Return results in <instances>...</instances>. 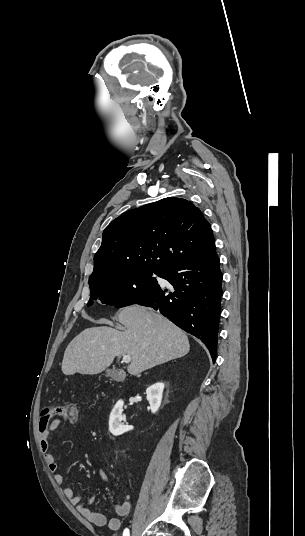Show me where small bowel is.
Returning <instances> with one entry per match:
<instances>
[{
	"instance_id": "c3829d8e",
	"label": "small bowel",
	"mask_w": 305,
	"mask_h": 536,
	"mask_svg": "<svg viewBox=\"0 0 305 536\" xmlns=\"http://www.w3.org/2000/svg\"><path fill=\"white\" fill-rule=\"evenodd\" d=\"M63 415L64 410L62 408H57L55 412L46 411L44 413V419H40L38 421L39 427L37 430L41 451L44 454L48 469L53 474L54 480L58 485H62L64 483V477L58 472V463L56 462L54 455L50 451V435H48L47 433L49 431L48 422L51 427H56L59 422H62ZM63 422H66V419H63ZM99 475L103 482H105L106 484L109 483V479L103 471H99ZM63 492L64 496L68 499V501L89 522L99 527L107 526L111 530L119 529L120 520L117 517H112L108 520L106 516L102 513L91 509L87 504L82 502L81 496L75 494L74 490L71 487H65ZM92 501H94V497L89 500V502ZM130 508V502L124 501L118 503L115 506V512L118 516H125L129 513Z\"/></svg>"
}]
</instances>
